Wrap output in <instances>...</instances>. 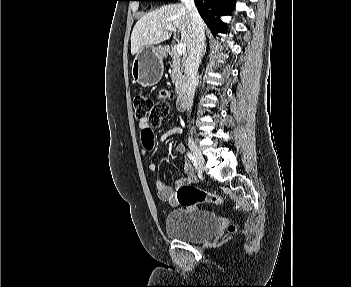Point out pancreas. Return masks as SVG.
<instances>
[{
	"mask_svg": "<svg viewBox=\"0 0 351 287\" xmlns=\"http://www.w3.org/2000/svg\"><path fill=\"white\" fill-rule=\"evenodd\" d=\"M172 72H171V78L173 84H175L176 92L181 93L184 88H185V81L183 77V67H182V62L180 61L179 56L174 55L172 57Z\"/></svg>",
	"mask_w": 351,
	"mask_h": 287,
	"instance_id": "1",
	"label": "pancreas"
}]
</instances>
